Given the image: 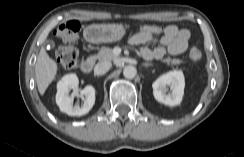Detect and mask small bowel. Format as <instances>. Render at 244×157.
<instances>
[{
  "mask_svg": "<svg viewBox=\"0 0 244 157\" xmlns=\"http://www.w3.org/2000/svg\"><path fill=\"white\" fill-rule=\"evenodd\" d=\"M156 40L155 35L137 33L130 39L133 46H143L140 50L141 57L145 60L161 59L166 53L180 55L187 51L190 40V32L186 29L178 28L175 25L167 26L159 41L161 46L149 48L144 45Z\"/></svg>",
  "mask_w": 244,
  "mask_h": 157,
  "instance_id": "1",
  "label": "small bowel"
}]
</instances>
